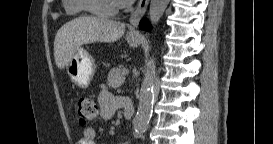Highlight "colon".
<instances>
[{
	"label": "colon",
	"instance_id": "colon-1",
	"mask_svg": "<svg viewBox=\"0 0 273 144\" xmlns=\"http://www.w3.org/2000/svg\"><path fill=\"white\" fill-rule=\"evenodd\" d=\"M98 105L90 97L83 96L78 101L77 119L79 124L86 125L97 117Z\"/></svg>",
	"mask_w": 273,
	"mask_h": 144
}]
</instances>
